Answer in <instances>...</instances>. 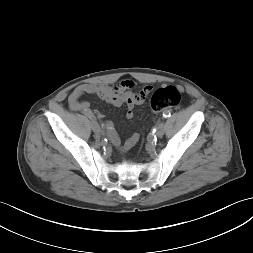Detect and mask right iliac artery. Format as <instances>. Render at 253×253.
Listing matches in <instances>:
<instances>
[{"instance_id": "obj_1", "label": "right iliac artery", "mask_w": 253, "mask_h": 253, "mask_svg": "<svg viewBox=\"0 0 253 253\" xmlns=\"http://www.w3.org/2000/svg\"><path fill=\"white\" fill-rule=\"evenodd\" d=\"M86 116H88L90 119H93L94 115L92 113H87Z\"/></svg>"}]
</instances>
